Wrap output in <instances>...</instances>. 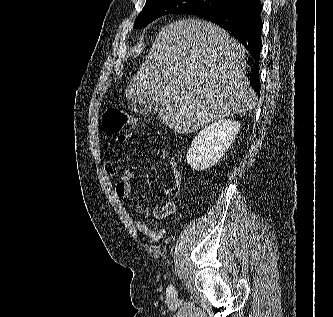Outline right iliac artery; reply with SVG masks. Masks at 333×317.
<instances>
[{
	"instance_id": "1",
	"label": "right iliac artery",
	"mask_w": 333,
	"mask_h": 317,
	"mask_svg": "<svg viewBox=\"0 0 333 317\" xmlns=\"http://www.w3.org/2000/svg\"><path fill=\"white\" fill-rule=\"evenodd\" d=\"M167 292H168L169 294H173V293H175L174 287H173L172 285H170V286L167 288Z\"/></svg>"
}]
</instances>
